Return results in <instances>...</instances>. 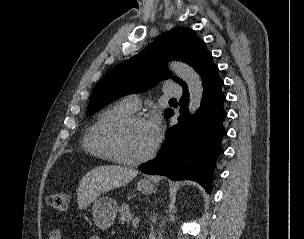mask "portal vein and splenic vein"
Returning <instances> with one entry per match:
<instances>
[{
  "mask_svg": "<svg viewBox=\"0 0 304 239\" xmlns=\"http://www.w3.org/2000/svg\"><path fill=\"white\" fill-rule=\"evenodd\" d=\"M139 217H135L134 219H133V224H137L138 222H139Z\"/></svg>",
  "mask_w": 304,
  "mask_h": 239,
  "instance_id": "18ae733b",
  "label": "portal vein and splenic vein"
}]
</instances>
